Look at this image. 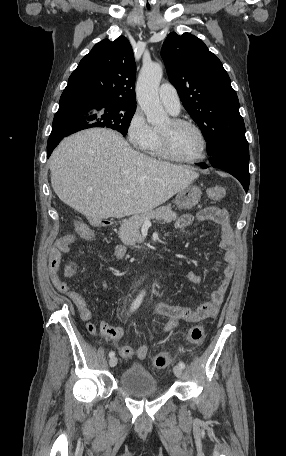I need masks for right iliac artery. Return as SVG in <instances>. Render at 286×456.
<instances>
[{
	"mask_svg": "<svg viewBox=\"0 0 286 456\" xmlns=\"http://www.w3.org/2000/svg\"><path fill=\"white\" fill-rule=\"evenodd\" d=\"M143 296H144V292H141L137 298L135 299V301L132 303L131 307H130V312H133L134 310H136L139 305L141 304L142 300H143ZM115 356V352L114 351H110L109 352V357H114Z\"/></svg>",
	"mask_w": 286,
	"mask_h": 456,
	"instance_id": "obj_1",
	"label": "right iliac artery"
}]
</instances>
